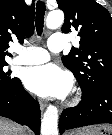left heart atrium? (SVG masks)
Instances as JSON below:
<instances>
[{"mask_svg":"<svg viewBox=\"0 0 112 135\" xmlns=\"http://www.w3.org/2000/svg\"><path fill=\"white\" fill-rule=\"evenodd\" d=\"M21 78L29 91L41 97H64L72 86L69 74L53 64L28 67Z\"/></svg>","mask_w":112,"mask_h":135,"instance_id":"39dd6f15","label":"left heart atrium"}]
</instances>
